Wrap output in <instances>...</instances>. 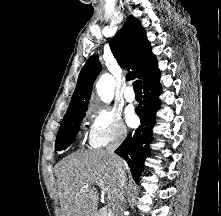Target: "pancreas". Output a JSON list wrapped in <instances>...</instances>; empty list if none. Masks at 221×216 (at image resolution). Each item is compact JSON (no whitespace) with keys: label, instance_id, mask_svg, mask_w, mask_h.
<instances>
[{"label":"pancreas","instance_id":"cf45deb5","mask_svg":"<svg viewBox=\"0 0 221 216\" xmlns=\"http://www.w3.org/2000/svg\"><path fill=\"white\" fill-rule=\"evenodd\" d=\"M102 216H113V214L107 212L106 214L102 215Z\"/></svg>","mask_w":221,"mask_h":216}]
</instances>
